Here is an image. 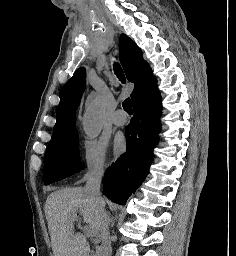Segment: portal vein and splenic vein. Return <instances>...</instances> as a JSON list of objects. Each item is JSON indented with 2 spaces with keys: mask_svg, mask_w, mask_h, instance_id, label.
Listing matches in <instances>:
<instances>
[{
  "mask_svg": "<svg viewBox=\"0 0 236 256\" xmlns=\"http://www.w3.org/2000/svg\"><path fill=\"white\" fill-rule=\"evenodd\" d=\"M81 218L79 216H72V222H80ZM84 232H87L89 236H94L95 232L90 228V226H84L83 228Z\"/></svg>",
  "mask_w": 236,
  "mask_h": 256,
  "instance_id": "portal-vein-and-splenic-vein-1",
  "label": "portal vein and splenic vein"
}]
</instances>
